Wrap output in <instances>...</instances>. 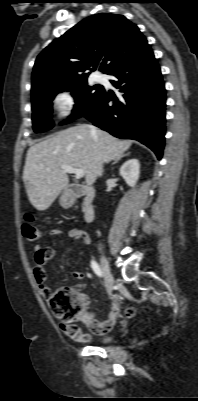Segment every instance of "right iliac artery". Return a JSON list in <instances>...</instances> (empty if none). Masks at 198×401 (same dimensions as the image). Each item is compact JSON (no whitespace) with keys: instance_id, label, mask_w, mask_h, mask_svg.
I'll list each match as a JSON object with an SVG mask.
<instances>
[{"instance_id":"82829eb1","label":"right iliac artery","mask_w":198,"mask_h":401,"mask_svg":"<svg viewBox=\"0 0 198 401\" xmlns=\"http://www.w3.org/2000/svg\"><path fill=\"white\" fill-rule=\"evenodd\" d=\"M91 267H92L93 271H94L99 277H102V276H103V275H102V271H101L99 265H98L95 261H92V262H91Z\"/></svg>"}]
</instances>
